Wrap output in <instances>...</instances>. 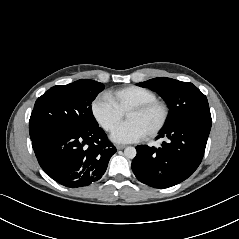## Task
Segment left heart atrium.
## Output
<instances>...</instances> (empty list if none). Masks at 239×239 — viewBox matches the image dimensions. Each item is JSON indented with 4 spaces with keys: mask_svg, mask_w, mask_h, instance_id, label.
Wrapping results in <instances>:
<instances>
[{
    "mask_svg": "<svg viewBox=\"0 0 239 239\" xmlns=\"http://www.w3.org/2000/svg\"><path fill=\"white\" fill-rule=\"evenodd\" d=\"M146 135V132L136 123L126 122L112 132L111 138L118 143H132L144 139Z\"/></svg>",
    "mask_w": 239,
    "mask_h": 239,
    "instance_id": "left-heart-atrium-1",
    "label": "left heart atrium"
}]
</instances>
